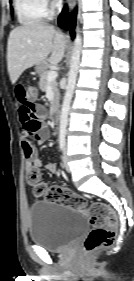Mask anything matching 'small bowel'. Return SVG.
Wrapping results in <instances>:
<instances>
[{
    "mask_svg": "<svg viewBox=\"0 0 134 281\" xmlns=\"http://www.w3.org/2000/svg\"><path fill=\"white\" fill-rule=\"evenodd\" d=\"M15 96L19 103L18 115L22 124V150L27 160V169L44 167L47 171L55 173L57 166L55 163L43 164L34 143L42 144L50 137V129L44 124L46 117L45 108L39 103L29 102L27 99V87L22 83L15 85Z\"/></svg>",
    "mask_w": 134,
    "mask_h": 281,
    "instance_id": "1",
    "label": "small bowel"
}]
</instances>
